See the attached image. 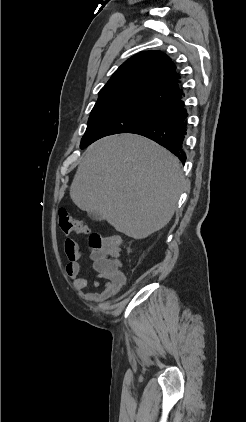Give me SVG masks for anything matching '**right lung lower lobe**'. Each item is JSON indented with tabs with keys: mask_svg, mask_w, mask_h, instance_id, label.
Returning a JSON list of instances; mask_svg holds the SVG:
<instances>
[{
	"mask_svg": "<svg viewBox=\"0 0 246 422\" xmlns=\"http://www.w3.org/2000/svg\"><path fill=\"white\" fill-rule=\"evenodd\" d=\"M159 110V116L129 133L139 134L157 142L184 163L186 154L182 148V142L186 135V117L188 114L182 97L161 106Z\"/></svg>",
	"mask_w": 246,
	"mask_h": 422,
	"instance_id": "obj_1",
	"label": "right lung lower lobe"
}]
</instances>
